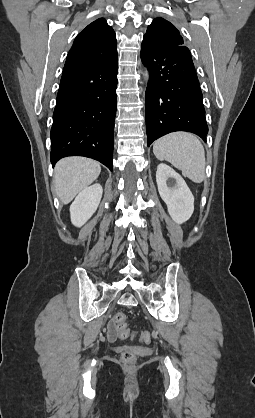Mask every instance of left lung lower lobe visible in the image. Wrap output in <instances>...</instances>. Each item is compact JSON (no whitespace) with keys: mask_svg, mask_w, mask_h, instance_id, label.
<instances>
[{"mask_svg":"<svg viewBox=\"0 0 255 418\" xmlns=\"http://www.w3.org/2000/svg\"><path fill=\"white\" fill-rule=\"evenodd\" d=\"M140 56L150 72L145 94L148 146L175 131L191 132L205 141L208 126L189 49L157 51L142 44Z\"/></svg>","mask_w":255,"mask_h":418,"instance_id":"0a47b994","label":"left lung lower lobe"}]
</instances>
